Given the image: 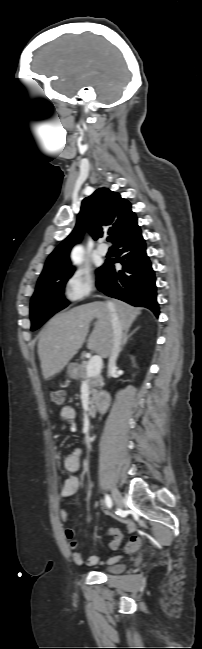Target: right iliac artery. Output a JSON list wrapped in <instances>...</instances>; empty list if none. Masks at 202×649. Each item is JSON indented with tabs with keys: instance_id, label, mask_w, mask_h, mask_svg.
<instances>
[{
	"instance_id": "82829eb1",
	"label": "right iliac artery",
	"mask_w": 202,
	"mask_h": 649,
	"mask_svg": "<svg viewBox=\"0 0 202 649\" xmlns=\"http://www.w3.org/2000/svg\"><path fill=\"white\" fill-rule=\"evenodd\" d=\"M105 503H106L108 508H111L112 505H113L112 500L108 495L105 496Z\"/></svg>"
}]
</instances>
